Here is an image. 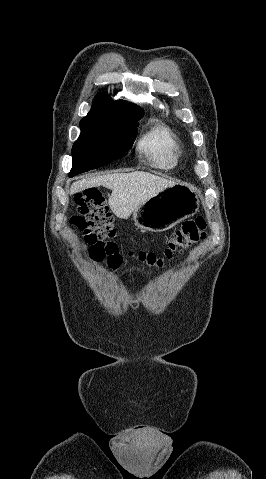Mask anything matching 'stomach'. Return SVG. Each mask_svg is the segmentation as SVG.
Instances as JSON below:
<instances>
[{"mask_svg":"<svg viewBox=\"0 0 266 479\" xmlns=\"http://www.w3.org/2000/svg\"><path fill=\"white\" fill-rule=\"evenodd\" d=\"M198 205V191L192 186L177 183L134 210L133 220L142 230L162 232L191 217Z\"/></svg>","mask_w":266,"mask_h":479,"instance_id":"0dacf381","label":"stomach"}]
</instances>
